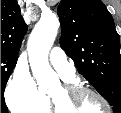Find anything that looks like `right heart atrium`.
Instances as JSON below:
<instances>
[{"instance_id":"1","label":"right heart atrium","mask_w":121,"mask_h":113,"mask_svg":"<svg viewBox=\"0 0 121 113\" xmlns=\"http://www.w3.org/2000/svg\"><path fill=\"white\" fill-rule=\"evenodd\" d=\"M5 98L9 109L15 113H37L44 96L30 73L16 67L6 86Z\"/></svg>"}]
</instances>
